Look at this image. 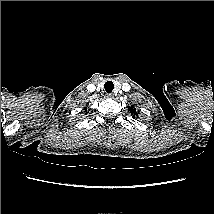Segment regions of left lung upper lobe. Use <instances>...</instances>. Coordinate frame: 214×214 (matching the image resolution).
I'll list each match as a JSON object with an SVG mask.
<instances>
[{"instance_id": "5c2ea615", "label": "left lung upper lobe", "mask_w": 214, "mask_h": 214, "mask_svg": "<svg viewBox=\"0 0 214 214\" xmlns=\"http://www.w3.org/2000/svg\"><path fill=\"white\" fill-rule=\"evenodd\" d=\"M129 110H130V112H131V116H132V118H135V117H137V112H136V109H134V107H129Z\"/></svg>"}]
</instances>
